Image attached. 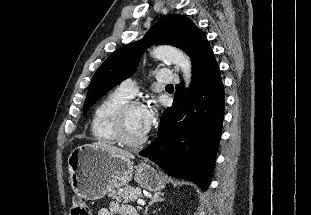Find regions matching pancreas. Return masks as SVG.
I'll use <instances>...</instances> for the list:
<instances>
[{"mask_svg": "<svg viewBox=\"0 0 311 215\" xmlns=\"http://www.w3.org/2000/svg\"><path fill=\"white\" fill-rule=\"evenodd\" d=\"M110 196L117 202L128 203L142 197V194L140 188L126 186L124 188L111 191Z\"/></svg>", "mask_w": 311, "mask_h": 215, "instance_id": "1", "label": "pancreas"}]
</instances>
